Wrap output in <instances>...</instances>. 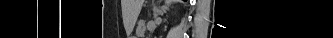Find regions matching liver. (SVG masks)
Returning a JSON list of instances; mask_svg holds the SVG:
<instances>
[{
	"mask_svg": "<svg viewBox=\"0 0 333 38\" xmlns=\"http://www.w3.org/2000/svg\"><path fill=\"white\" fill-rule=\"evenodd\" d=\"M143 2L144 0H134L133 19L137 18V16L139 15Z\"/></svg>",
	"mask_w": 333,
	"mask_h": 38,
	"instance_id": "liver-1",
	"label": "liver"
}]
</instances>
